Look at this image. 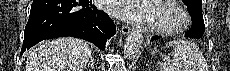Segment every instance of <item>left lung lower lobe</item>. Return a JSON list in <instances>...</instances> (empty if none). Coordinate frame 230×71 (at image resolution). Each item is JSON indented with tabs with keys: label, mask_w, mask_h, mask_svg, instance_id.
Segmentation results:
<instances>
[{
	"label": "left lung lower lobe",
	"mask_w": 230,
	"mask_h": 71,
	"mask_svg": "<svg viewBox=\"0 0 230 71\" xmlns=\"http://www.w3.org/2000/svg\"><path fill=\"white\" fill-rule=\"evenodd\" d=\"M189 13L192 17V26L191 29L185 34V36L191 38H200L205 31L202 12L191 11ZM157 39H159V37L155 36L151 40L153 41Z\"/></svg>",
	"instance_id": "left-lung-lower-lobe-1"
}]
</instances>
